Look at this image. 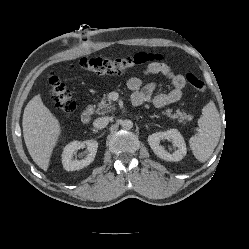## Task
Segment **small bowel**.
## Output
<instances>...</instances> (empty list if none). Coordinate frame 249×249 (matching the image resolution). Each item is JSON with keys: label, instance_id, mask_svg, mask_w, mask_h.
I'll use <instances>...</instances> for the list:
<instances>
[{"label": "small bowel", "instance_id": "1", "mask_svg": "<svg viewBox=\"0 0 249 249\" xmlns=\"http://www.w3.org/2000/svg\"><path fill=\"white\" fill-rule=\"evenodd\" d=\"M161 75L165 77L171 84V89L167 93H160L154 96L153 103L158 108H163L179 101L185 87V77L177 74L163 62H154L149 64L144 70V75ZM128 88L132 91V101L135 105H141L151 100L156 85L148 83L144 85L143 79L140 77H132L127 82Z\"/></svg>", "mask_w": 249, "mask_h": 249}]
</instances>
